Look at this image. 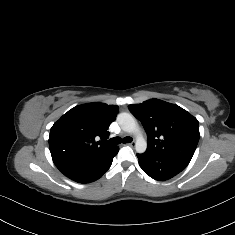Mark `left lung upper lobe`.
Listing matches in <instances>:
<instances>
[{
	"label": "left lung upper lobe",
	"mask_w": 235,
	"mask_h": 235,
	"mask_svg": "<svg viewBox=\"0 0 235 235\" xmlns=\"http://www.w3.org/2000/svg\"><path fill=\"white\" fill-rule=\"evenodd\" d=\"M128 108L147 133L146 151L190 162L200 138L195 117L183 108L159 99L131 104Z\"/></svg>",
	"instance_id": "left-lung-upper-lobe-1"
}]
</instances>
